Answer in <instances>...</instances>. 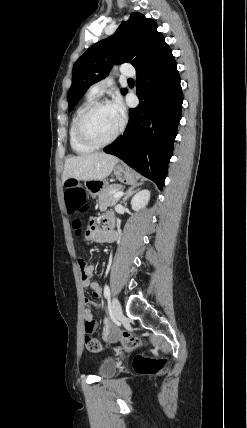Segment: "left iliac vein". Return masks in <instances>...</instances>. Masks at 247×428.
Instances as JSON below:
<instances>
[{
	"mask_svg": "<svg viewBox=\"0 0 247 428\" xmlns=\"http://www.w3.org/2000/svg\"><path fill=\"white\" fill-rule=\"evenodd\" d=\"M111 306L114 318L118 320L122 315V307L117 298H112Z\"/></svg>",
	"mask_w": 247,
	"mask_h": 428,
	"instance_id": "obj_1",
	"label": "left iliac vein"
}]
</instances>
